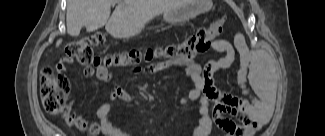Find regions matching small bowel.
I'll return each mask as SVG.
<instances>
[{
    "label": "small bowel",
    "mask_w": 325,
    "mask_h": 136,
    "mask_svg": "<svg viewBox=\"0 0 325 136\" xmlns=\"http://www.w3.org/2000/svg\"><path fill=\"white\" fill-rule=\"evenodd\" d=\"M217 33L208 40V49L222 54L221 57L200 65L196 62H168L154 66L149 70L154 74L161 69L185 65L184 78L193 83L188 94L178 100L180 105L190 102L199 103V122L194 128L193 136H206L215 122L229 136H249L257 129L269 122L273 107V83L270 74V61L265 52L261 50L250 51L241 33L234 36L233 41L217 38ZM239 59V69L236 74L237 85L241 95H233L219 91L214 85L213 76L223 70L229 69ZM63 61L56 66L55 78L59 80L64 98H73L74 88L70 87L71 79L65 73L66 65ZM84 74L91 77L95 74L101 82H112L113 75L103 66L96 69L85 67ZM173 80L163 83L167 88ZM119 99L134 102V97L128 93L118 82L110 100ZM103 102L97 109V121L88 122L83 116L76 114L72 106L65 113L67 122L88 135L102 133L106 136H127L122 133L111 119V101ZM212 103L215 105L212 106ZM230 115L238 121L226 117Z\"/></svg>",
    "instance_id": "small-bowel-1"
}]
</instances>
